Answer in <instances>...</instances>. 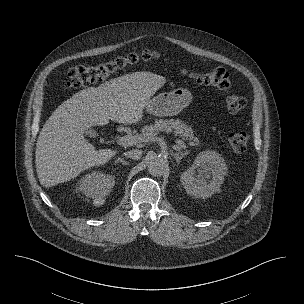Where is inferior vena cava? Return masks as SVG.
I'll return each instance as SVG.
<instances>
[{"label": "inferior vena cava", "mask_w": 304, "mask_h": 304, "mask_svg": "<svg viewBox=\"0 0 304 304\" xmlns=\"http://www.w3.org/2000/svg\"><path fill=\"white\" fill-rule=\"evenodd\" d=\"M143 151L139 149H132L124 153V155L131 159H140Z\"/></svg>", "instance_id": "inferior-vena-cava-1"}]
</instances>
